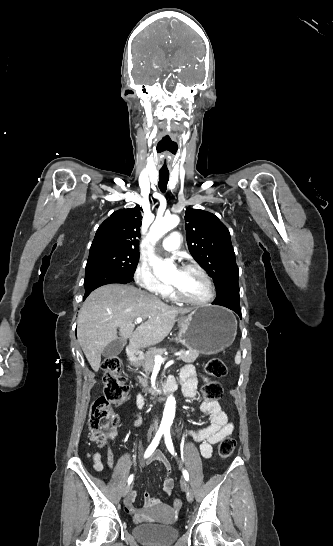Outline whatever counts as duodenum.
Segmentation results:
<instances>
[{"mask_svg": "<svg viewBox=\"0 0 333 546\" xmlns=\"http://www.w3.org/2000/svg\"><path fill=\"white\" fill-rule=\"evenodd\" d=\"M129 355L133 360H138L140 358L139 352L133 348L129 349ZM176 386H177V383L173 377L164 378L158 383L156 388L152 391L151 396L153 399H158L166 392L176 389Z\"/></svg>", "mask_w": 333, "mask_h": 546, "instance_id": "410a0bca", "label": "duodenum"}]
</instances>
